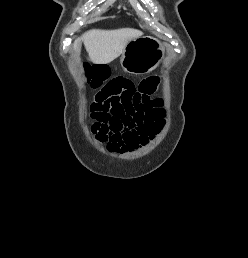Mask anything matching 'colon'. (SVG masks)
<instances>
[{
	"label": "colon",
	"mask_w": 248,
	"mask_h": 258,
	"mask_svg": "<svg viewBox=\"0 0 248 258\" xmlns=\"http://www.w3.org/2000/svg\"><path fill=\"white\" fill-rule=\"evenodd\" d=\"M88 71L94 73L91 83L93 85H101L105 79L104 74L100 71L99 65L87 66ZM91 115L95 122L93 128L101 125L105 132H110L119 129L124 125L127 114H122L117 108V104L111 98L99 97L91 107Z\"/></svg>",
	"instance_id": "1"
}]
</instances>
